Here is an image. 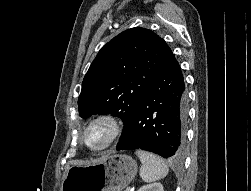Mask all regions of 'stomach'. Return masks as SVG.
Wrapping results in <instances>:
<instances>
[{
  "label": "stomach",
  "mask_w": 251,
  "mask_h": 191,
  "mask_svg": "<svg viewBox=\"0 0 251 191\" xmlns=\"http://www.w3.org/2000/svg\"><path fill=\"white\" fill-rule=\"evenodd\" d=\"M137 173L130 155H105L99 163L69 167L60 191H121Z\"/></svg>",
  "instance_id": "stomach-1"
}]
</instances>
